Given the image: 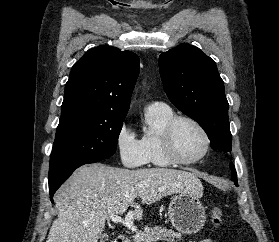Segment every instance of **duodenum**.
Segmentation results:
<instances>
[{
    "mask_svg": "<svg viewBox=\"0 0 279 242\" xmlns=\"http://www.w3.org/2000/svg\"><path fill=\"white\" fill-rule=\"evenodd\" d=\"M115 242H130V239L127 236L120 235L117 237Z\"/></svg>",
    "mask_w": 279,
    "mask_h": 242,
    "instance_id": "410a0bca",
    "label": "duodenum"
}]
</instances>
